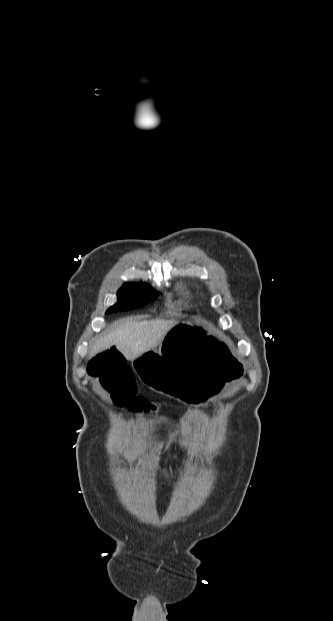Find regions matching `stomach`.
<instances>
[{
	"label": "stomach",
	"instance_id": "0dacf381",
	"mask_svg": "<svg viewBox=\"0 0 333 621\" xmlns=\"http://www.w3.org/2000/svg\"><path fill=\"white\" fill-rule=\"evenodd\" d=\"M194 318L177 324L164 336L159 350H144L132 367L150 394L176 396L183 402H204L222 393L227 380L244 372V365L227 353L224 337L213 336Z\"/></svg>",
	"mask_w": 333,
	"mask_h": 621
}]
</instances>
